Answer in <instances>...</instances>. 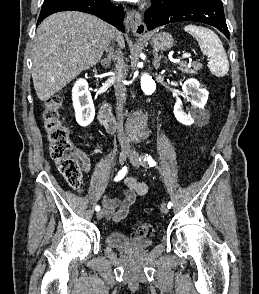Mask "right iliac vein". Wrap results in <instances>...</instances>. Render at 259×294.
<instances>
[{
    "mask_svg": "<svg viewBox=\"0 0 259 294\" xmlns=\"http://www.w3.org/2000/svg\"><path fill=\"white\" fill-rule=\"evenodd\" d=\"M129 154H130L129 148H126V147L122 148L119 154V163L124 164ZM104 214H105L104 209L99 210L96 214L97 219L98 220L102 219L104 217Z\"/></svg>",
    "mask_w": 259,
    "mask_h": 294,
    "instance_id": "63e3f726",
    "label": "right iliac vein"
}]
</instances>
